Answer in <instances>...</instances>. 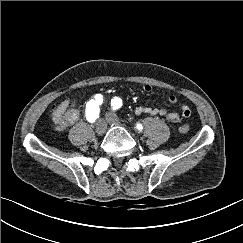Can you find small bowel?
<instances>
[{"instance_id":"obj_1","label":"small bowel","mask_w":243,"mask_h":243,"mask_svg":"<svg viewBox=\"0 0 243 243\" xmlns=\"http://www.w3.org/2000/svg\"><path fill=\"white\" fill-rule=\"evenodd\" d=\"M143 90L145 92H150L152 90V86L150 84H145L143 85ZM168 101L171 104H175L177 102V97L171 94L168 96ZM135 114L138 116L140 115L163 116L171 122H179L182 119L189 117L191 115V111L190 108L185 104L181 105L179 113L169 111L165 107L137 106L135 108Z\"/></svg>"}]
</instances>
